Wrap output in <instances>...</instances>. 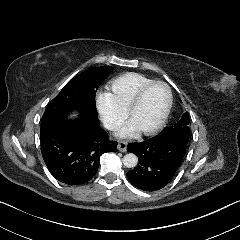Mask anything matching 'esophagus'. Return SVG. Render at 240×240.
<instances>
[{"label":"esophagus","instance_id":"obj_1","mask_svg":"<svg viewBox=\"0 0 240 240\" xmlns=\"http://www.w3.org/2000/svg\"><path fill=\"white\" fill-rule=\"evenodd\" d=\"M117 148L120 152H126L127 150V142L126 141H119Z\"/></svg>","mask_w":240,"mask_h":240}]
</instances>
